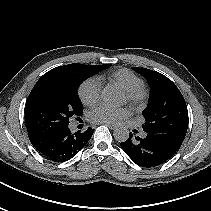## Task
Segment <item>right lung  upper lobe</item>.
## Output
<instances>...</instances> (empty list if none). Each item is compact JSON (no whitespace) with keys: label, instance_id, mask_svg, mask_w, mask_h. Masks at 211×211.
<instances>
[{"label":"right lung upper lobe","instance_id":"1","mask_svg":"<svg viewBox=\"0 0 211 211\" xmlns=\"http://www.w3.org/2000/svg\"><path fill=\"white\" fill-rule=\"evenodd\" d=\"M83 66L84 64L74 63L53 68L45 73L35 85L46 82H60L67 80L76 74Z\"/></svg>","mask_w":211,"mask_h":211}]
</instances>
